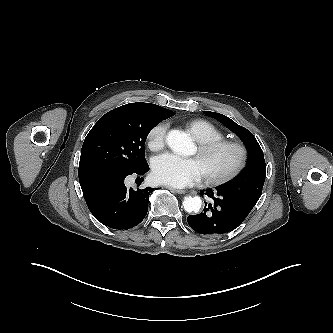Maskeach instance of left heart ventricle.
I'll return each mask as SVG.
<instances>
[{"label":"left heart ventricle","instance_id":"obj_1","mask_svg":"<svg viewBox=\"0 0 333 333\" xmlns=\"http://www.w3.org/2000/svg\"><path fill=\"white\" fill-rule=\"evenodd\" d=\"M203 174L219 175L227 171L236 159V153L231 149H223L208 157L196 155Z\"/></svg>","mask_w":333,"mask_h":333}]
</instances>
